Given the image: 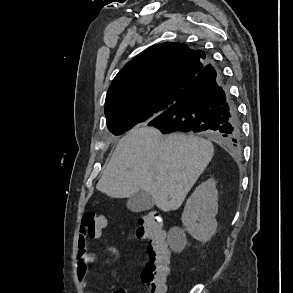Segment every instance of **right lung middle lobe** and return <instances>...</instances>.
I'll use <instances>...</instances> for the list:
<instances>
[{
	"label": "right lung middle lobe",
	"mask_w": 293,
	"mask_h": 293,
	"mask_svg": "<svg viewBox=\"0 0 293 293\" xmlns=\"http://www.w3.org/2000/svg\"><path fill=\"white\" fill-rule=\"evenodd\" d=\"M160 109L161 106H159L157 109L138 110L135 112L112 116L106 119L107 127L109 131L112 132L114 135H121L124 132L133 128L136 124L151 120L154 112Z\"/></svg>",
	"instance_id": "1"
}]
</instances>
